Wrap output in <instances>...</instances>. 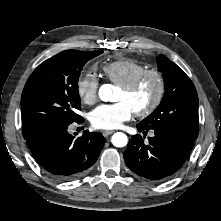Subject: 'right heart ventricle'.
<instances>
[{
  "instance_id": "right-heart-ventricle-1",
  "label": "right heart ventricle",
  "mask_w": 221,
  "mask_h": 221,
  "mask_svg": "<svg viewBox=\"0 0 221 221\" xmlns=\"http://www.w3.org/2000/svg\"><path fill=\"white\" fill-rule=\"evenodd\" d=\"M102 69L110 82L121 85L146 69V66L136 60L122 58L105 64Z\"/></svg>"
}]
</instances>
